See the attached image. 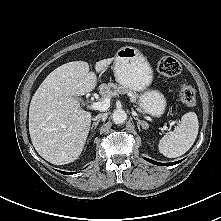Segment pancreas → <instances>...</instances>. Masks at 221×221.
<instances>
[{"instance_id":"pancreas-1","label":"pancreas","mask_w":221,"mask_h":221,"mask_svg":"<svg viewBox=\"0 0 221 221\" xmlns=\"http://www.w3.org/2000/svg\"><path fill=\"white\" fill-rule=\"evenodd\" d=\"M99 93L104 98H112L126 94L129 96L132 103H136L138 99V94L136 92L115 83L101 84L99 86ZM138 110L141 111L140 108H138Z\"/></svg>"}]
</instances>
